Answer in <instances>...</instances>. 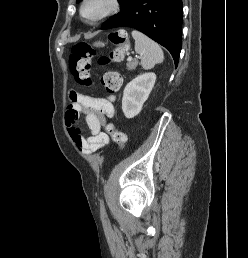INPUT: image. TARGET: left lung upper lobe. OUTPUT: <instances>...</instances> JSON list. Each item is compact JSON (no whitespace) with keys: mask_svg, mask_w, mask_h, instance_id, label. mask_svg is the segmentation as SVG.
Returning a JSON list of instances; mask_svg holds the SVG:
<instances>
[{"mask_svg":"<svg viewBox=\"0 0 248 258\" xmlns=\"http://www.w3.org/2000/svg\"><path fill=\"white\" fill-rule=\"evenodd\" d=\"M81 0H77L76 2L79 3ZM130 0H118L120 6H121V10L128 4Z\"/></svg>","mask_w":248,"mask_h":258,"instance_id":"left-lung-upper-lobe-1","label":"left lung upper lobe"}]
</instances>
